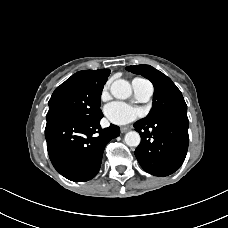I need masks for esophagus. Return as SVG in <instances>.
Wrapping results in <instances>:
<instances>
[{"label":"esophagus","mask_w":228,"mask_h":228,"mask_svg":"<svg viewBox=\"0 0 228 228\" xmlns=\"http://www.w3.org/2000/svg\"><path fill=\"white\" fill-rule=\"evenodd\" d=\"M120 131L121 133H126L127 131H129V127H121Z\"/></svg>","instance_id":"34e87169"}]
</instances>
